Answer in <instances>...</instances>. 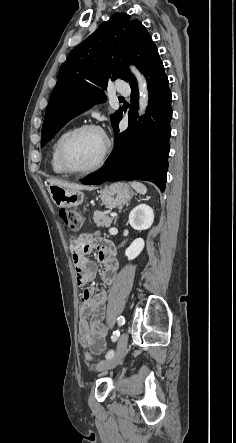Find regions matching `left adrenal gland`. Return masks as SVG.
Listing matches in <instances>:
<instances>
[{
  "instance_id": "obj_1",
  "label": "left adrenal gland",
  "mask_w": 236,
  "mask_h": 443,
  "mask_svg": "<svg viewBox=\"0 0 236 443\" xmlns=\"http://www.w3.org/2000/svg\"><path fill=\"white\" fill-rule=\"evenodd\" d=\"M116 221H117V217H116L115 220H114V225L116 224Z\"/></svg>"
}]
</instances>
